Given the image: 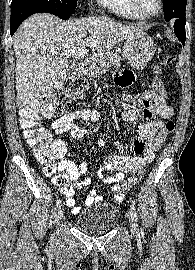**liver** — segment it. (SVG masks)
I'll return each instance as SVG.
<instances>
[{"instance_id": "liver-1", "label": "liver", "mask_w": 195, "mask_h": 270, "mask_svg": "<svg viewBox=\"0 0 195 270\" xmlns=\"http://www.w3.org/2000/svg\"><path fill=\"white\" fill-rule=\"evenodd\" d=\"M141 32V26L117 23L107 17L61 22L48 13L32 15L13 37L16 106H26L66 79L69 63L64 51L88 47L99 54Z\"/></svg>"}]
</instances>
